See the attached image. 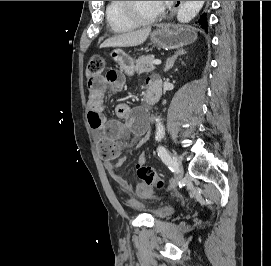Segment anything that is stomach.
Masks as SVG:
<instances>
[{
    "instance_id": "obj_1",
    "label": "stomach",
    "mask_w": 271,
    "mask_h": 266,
    "mask_svg": "<svg viewBox=\"0 0 271 266\" xmlns=\"http://www.w3.org/2000/svg\"><path fill=\"white\" fill-rule=\"evenodd\" d=\"M197 39L196 31L191 27L165 25L150 35L152 43L164 48L175 49L193 43ZM110 56L126 73L134 71V60L120 49H115Z\"/></svg>"
}]
</instances>
